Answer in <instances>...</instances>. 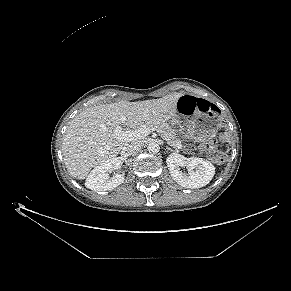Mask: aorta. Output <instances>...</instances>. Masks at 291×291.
I'll return each mask as SVG.
<instances>
[{"instance_id":"obj_1","label":"aorta","mask_w":291,"mask_h":291,"mask_svg":"<svg viewBox=\"0 0 291 291\" xmlns=\"http://www.w3.org/2000/svg\"><path fill=\"white\" fill-rule=\"evenodd\" d=\"M147 149L149 153L155 154L159 152L160 146L156 142H151L149 143Z\"/></svg>"}]
</instances>
